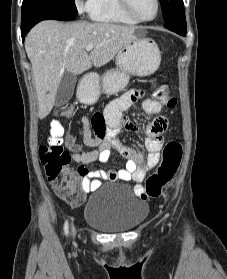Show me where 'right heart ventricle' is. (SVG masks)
Returning a JSON list of instances; mask_svg holds the SVG:
<instances>
[{
	"label": "right heart ventricle",
	"mask_w": 227,
	"mask_h": 279,
	"mask_svg": "<svg viewBox=\"0 0 227 279\" xmlns=\"http://www.w3.org/2000/svg\"><path fill=\"white\" fill-rule=\"evenodd\" d=\"M90 17L94 21L115 24H136L123 9L119 0H95Z\"/></svg>",
	"instance_id": "1"
}]
</instances>
